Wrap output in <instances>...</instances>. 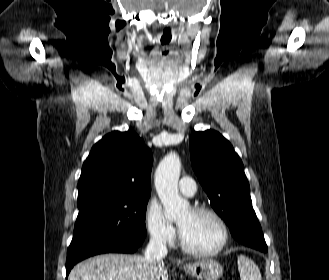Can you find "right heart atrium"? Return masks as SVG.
Listing matches in <instances>:
<instances>
[{
    "instance_id": "d8ad5b80",
    "label": "right heart atrium",
    "mask_w": 329,
    "mask_h": 280,
    "mask_svg": "<svg viewBox=\"0 0 329 280\" xmlns=\"http://www.w3.org/2000/svg\"><path fill=\"white\" fill-rule=\"evenodd\" d=\"M146 230L150 239L159 245L169 246L175 239V228L166 219L162 208L155 202H149L145 209Z\"/></svg>"
}]
</instances>
